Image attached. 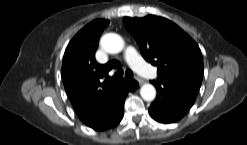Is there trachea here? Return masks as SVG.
I'll list each match as a JSON object with an SVG mask.
<instances>
[{
	"mask_svg": "<svg viewBox=\"0 0 247 145\" xmlns=\"http://www.w3.org/2000/svg\"><path fill=\"white\" fill-rule=\"evenodd\" d=\"M125 76L127 78H132L133 77V72L131 70H126ZM123 77V70L119 69L114 76L111 78V80H119Z\"/></svg>",
	"mask_w": 247,
	"mask_h": 145,
	"instance_id": "trachea-1",
	"label": "trachea"
}]
</instances>
